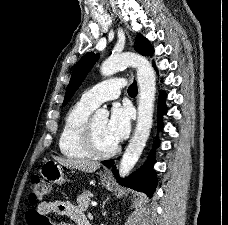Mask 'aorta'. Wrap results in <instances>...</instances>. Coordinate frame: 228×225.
Instances as JSON below:
<instances>
[{
	"label": "aorta",
	"instance_id": "aorta-1",
	"mask_svg": "<svg viewBox=\"0 0 228 225\" xmlns=\"http://www.w3.org/2000/svg\"><path fill=\"white\" fill-rule=\"evenodd\" d=\"M125 66H136L140 92L136 131L121 159L119 167V175L123 179L135 167L150 135L156 90V76L152 64H150L148 58L141 56V54H136V52L111 54L107 60L102 62L100 72L103 76H110V74L119 72L120 68H125ZM96 117L107 119L109 117L108 110L106 108H98Z\"/></svg>",
	"mask_w": 228,
	"mask_h": 225
}]
</instances>
